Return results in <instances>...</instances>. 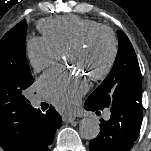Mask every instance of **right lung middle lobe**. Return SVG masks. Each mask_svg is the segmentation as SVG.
Here are the masks:
<instances>
[{"label":"right lung middle lobe","mask_w":151,"mask_h":151,"mask_svg":"<svg viewBox=\"0 0 151 151\" xmlns=\"http://www.w3.org/2000/svg\"><path fill=\"white\" fill-rule=\"evenodd\" d=\"M27 24L20 21L0 40V98L27 100L25 89L33 83L25 55Z\"/></svg>","instance_id":"obj_1"}]
</instances>
